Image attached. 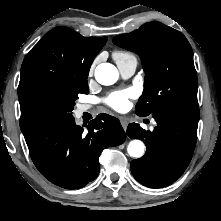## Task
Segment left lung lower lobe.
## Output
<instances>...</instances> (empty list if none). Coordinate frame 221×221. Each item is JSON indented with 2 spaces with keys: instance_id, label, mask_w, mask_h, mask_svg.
Returning <instances> with one entry per match:
<instances>
[{
  "instance_id": "0a47b994",
  "label": "left lung lower lobe",
  "mask_w": 221,
  "mask_h": 221,
  "mask_svg": "<svg viewBox=\"0 0 221 221\" xmlns=\"http://www.w3.org/2000/svg\"><path fill=\"white\" fill-rule=\"evenodd\" d=\"M154 130L146 131L138 124L127 128L130 138L141 139L147 145L142 158L131 162V172L141 184L160 188L175 182L189 165L196 145L198 119L156 110Z\"/></svg>"
}]
</instances>
